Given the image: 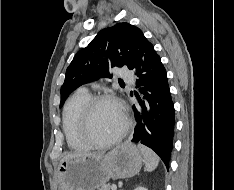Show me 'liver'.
<instances>
[{
  "label": "liver",
  "mask_w": 234,
  "mask_h": 190,
  "mask_svg": "<svg viewBox=\"0 0 234 190\" xmlns=\"http://www.w3.org/2000/svg\"><path fill=\"white\" fill-rule=\"evenodd\" d=\"M86 155H88V156H97V155H93V154H79V153H73V154H68V155H66V156L63 158V160H64V159H67V158H74V157H80V156H86Z\"/></svg>",
  "instance_id": "1"
}]
</instances>
